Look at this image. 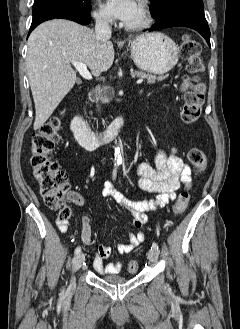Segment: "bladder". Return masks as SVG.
Segmentation results:
<instances>
[{"mask_svg": "<svg viewBox=\"0 0 240 329\" xmlns=\"http://www.w3.org/2000/svg\"><path fill=\"white\" fill-rule=\"evenodd\" d=\"M105 280L111 284H122L126 281V278L122 276H110L105 278Z\"/></svg>", "mask_w": 240, "mask_h": 329, "instance_id": "31cf9c89", "label": "bladder"}]
</instances>
